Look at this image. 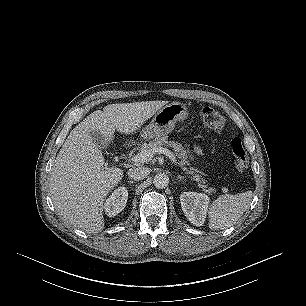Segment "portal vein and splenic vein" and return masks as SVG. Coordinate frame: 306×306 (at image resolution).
I'll list each match as a JSON object with an SVG mask.
<instances>
[{
  "instance_id": "portal-vein-and-splenic-vein-1",
  "label": "portal vein and splenic vein",
  "mask_w": 306,
  "mask_h": 306,
  "mask_svg": "<svg viewBox=\"0 0 306 306\" xmlns=\"http://www.w3.org/2000/svg\"><path fill=\"white\" fill-rule=\"evenodd\" d=\"M156 152L165 154L167 157L170 158L171 161H173L175 165L178 164L175 155L167 148H159L155 151L152 150L144 153H138L131 160L135 163H147L153 158Z\"/></svg>"
}]
</instances>
